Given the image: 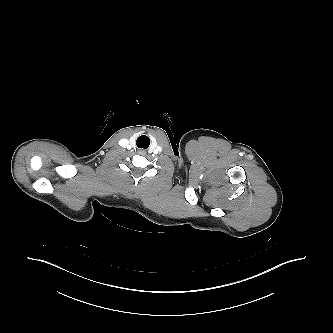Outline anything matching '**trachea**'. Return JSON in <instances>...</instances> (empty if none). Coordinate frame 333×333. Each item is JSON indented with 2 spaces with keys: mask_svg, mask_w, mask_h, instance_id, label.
Returning <instances> with one entry per match:
<instances>
[{
  "mask_svg": "<svg viewBox=\"0 0 333 333\" xmlns=\"http://www.w3.org/2000/svg\"><path fill=\"white\" fill-rule=\"evenodd\" d=\"M136 144H137L138 148L146 149L150 144V139L147 136L142 135V136L138 137Z\"/></svg>",
  "mask_w": 333,
  "mask_h": 333,
  "instance_id": "trachea-1",
  "label": "trachea"
}]
</instances>
